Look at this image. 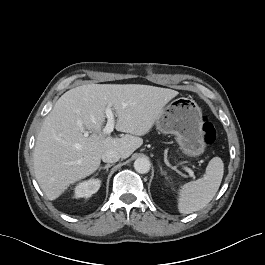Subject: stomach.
Listing matches in <instances>:
<instances>
[{
  "label": "stomach",
  "instance_id": "1",
  "mask_svg": "<svg viewBox=\"0 0 265 265\" xmlns=\"http://www.w3.org/2000/svg\"><path fill=\"white\" fill-rule=\"evenodd\" d=\"M156 126L162 133L176 136L183 154L197 157L204 153L202 111L194 100L180 97L170 102L156 120Z\"/></svg>",
  "mask_w": 265,
  "mask_h": 265
}]
</instances>
